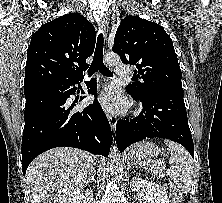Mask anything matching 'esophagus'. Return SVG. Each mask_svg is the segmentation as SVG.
<instances>
[{
    "instance_id": "1",
    "label": "esophagus",
    "mask_w": 222,
    "mask_h": 203,
    "mask_svg": "<svg viewBox=\"0 0 222 203\" xmlns=\"http://www.w3.org/2000/svg\"><path fill=\"white\" fill-rule=\"evenodd\" d=\"M98 31L99 33H102L103 35H106L108 31V20L106 17L102 18L101 21L99 22ZM106 116L110 123L111 128L114 130L117 124L116 117L108 112H106Z\"/></svg>"
}]
</instances>
